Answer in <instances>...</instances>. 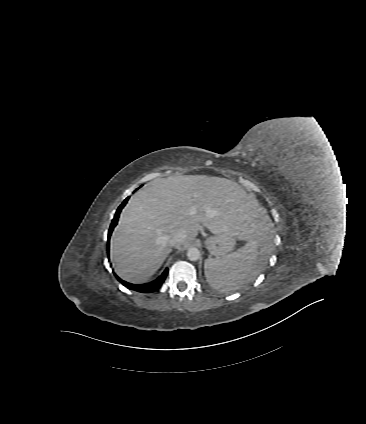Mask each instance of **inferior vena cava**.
Returning a JSON list of instances; mask_svg holds the SVG:
<instances>
[{
	"mask_svg": "<svg viewBox=\"0 0 366 424\" xmlns=\"http://www.w3.org/2000/svg\"><path fill=\"white\" fill-rule=\"evenodd\" d=\"M185 238H186L185 232L178 231L175 234H173V236L170 238L169 243L173 247H178L184 242Z\"/></svg>",
	"mask_w": 366,
	"mask_h": 424,
	"instance_id": "602c4592",
	"label": "inferior vena cava"
}]
</instances>
